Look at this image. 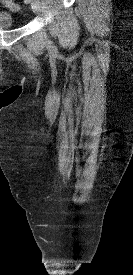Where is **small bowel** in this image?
I'll return each instance as SVG.
<instances>
[{"instance_id": "small-bowel-1", "label": "small bowel", "mask_w": 133, "mask_h": 275, "mask_svg": "<svg viewBox=\"0 0 133 275\" xmlns=\"http://www.w3.org/2000/svg\"><path fill=\"white\" fill-rule=\"evenodd\" d=\"M3 2L5 5H7L9 8H11V5L14 4L12 0H0Z\"/></svg>"}]
</instances>
